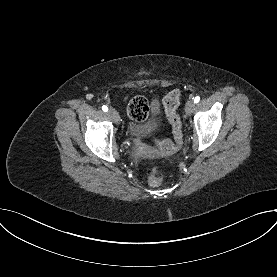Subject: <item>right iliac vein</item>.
<instances>
[{"instance_id": "1", "label": "right iliac vein", "mask_w": 277, "mask_h": 277, "mask_svg": "<svg viewBox=\"0 0 277 277\" xmlns=\"http://www.w3.org/2000/svg\"><path fill=\"white\" fill-rule=\"evenodd\" d=\"M108 114L109 116L113 119V121L117 124L120 123V117H119V114L118 112L113 109V108H110L109 111H108Z\"/></svg>"}]
</instances>
